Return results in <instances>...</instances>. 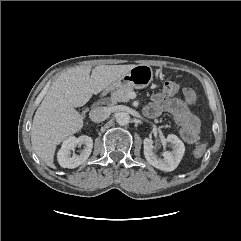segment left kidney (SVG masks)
Segmentation results:
<instances>
[{"label":"left kidney","instance_id":"1","mask_svg":"<svg viewBox=\"0 0 241 241\" xmlns=\"http://www.w3.org/2000/svg\"><path fill=\"white\" fill-rule=\"evenodd\" d=\"M167 141L173 145V150L163 152V159L158 158L154 154V145L151 139L145 138L143 144L144 156L148 163L159 170L169 172L176 169L180 163L185 152V146L184 143L174 134H169L167 136Z\"/></svg>","mask_w":241,"mask_h":241}]
</instances>
